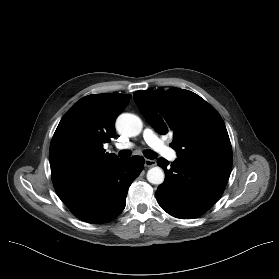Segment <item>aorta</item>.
Segmentation results:
<instances>
[{"mask_svg":"<svg viewBox=\"0 0 279 279\" xmlns=\"http://www.w3.org/2000/svg\"><path fill=\"white\" fill-rule=\"evenodd\" d=\"M142 121L141 119L131 113H123L118 116L116 120V128L119 133L134 137L140 134L142 131ZM165 174L163 170L156 166L148 170L147 180L154 185H160L164 182Z\"/></svg>","mask_w":279,"mask_h":279,"instance_id":"obj_1","label":"aorta"}]
</instances>
